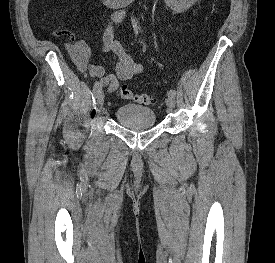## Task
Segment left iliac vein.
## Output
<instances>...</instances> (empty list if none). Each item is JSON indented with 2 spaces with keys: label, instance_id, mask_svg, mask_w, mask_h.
I'll list each match as a JSON object with an SVG mask.
<instances>
[{
  "label": "left iliac vein",
  "instance_id": "left-iliac-vein-1",
  "mask_svg": "<svg viewBox=\"0 0 275 263\" xmlns=\"http://www.w3.org/2000/svg\"><path fill=\"white\" fill-rule=\"evenodd\" d=\"M175 97L173 96H168L166 99V105L170 108L173 109L175 107Z\"/></svg>",
  "mask_w": 275,
  "mask_h": 263
}]
</instances>
